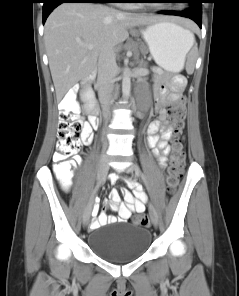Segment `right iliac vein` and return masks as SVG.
Here are the masks:
<instances>
[{"label":"right iliac vein","instance_id":"1","mask_svg":"<svg viewBox=\"0 0 239 296\" xmlns=\"http://www.w3.org/2000/svg\"><path fill=\"white\" fill-rule=\"evenodd\" d=\"M108 159L107 155L103 154L100 158L99 164H98V181H101L108 173ZM92 197V202L88 203L84 214H83V225L86 226L89 223L93 203H94V198H95V192L93 193Z\"/></svg>","mask_w":239,"mask_h":296}]
</instances>
